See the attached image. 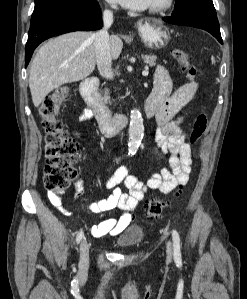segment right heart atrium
<instances>
[{
	"instance_id": "1",
	"label": "right heart atrium",
	"mask_w": 247,
	"mask_h": 299,
	"mask_svg": "<svg viewBox=\"0 0 247 299\" xmlns=\"http://www.w3.org/2000/svg\"><path fill=\"white\" fill-rule=\"evenodd\" d=\"M112 8H113L112 6L109 8H106V10H105L106 14H110L112 12Z\"/></svg>"
}]
</instances>
